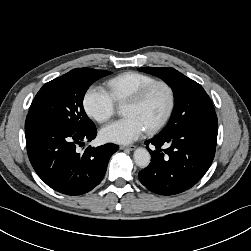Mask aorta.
<instances>
[{
  "label": "aorta",
  "instance_id": "1",
  "mask_svg": "<svg viewBox=\"0 0 251 251\" xmlns=\"http://www.w3.org/2000/svg\"><path fill=\"white\" fill-rule=\"evenodd\" d=\"M121 113V111H119V114ZM134 162L136 163V165L140 168H145L149 165L150 163V153L148 152L147 149L145 148H137L134 151Z\"/></svg>",
  "mask_w": 251,
  "mask_h": 251
}]
</instances>
